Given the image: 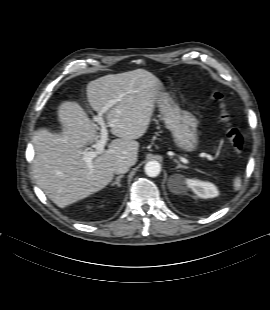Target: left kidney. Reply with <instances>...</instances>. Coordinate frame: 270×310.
<instances>
[{
    "label": "left kidney",
    "instance_id": "obj_1",
    "mask_svg": "<svg viewBox=\"0 0 270 310\" xmlns=\"http://www.w3.org/2000/svg\"><path fill=\"white\" fill-rule=\"evenodd\" d=\"M184 183L200 198H214L219 192L216 186L210 182L195 179H185Z\"/></svg>",
    "mask_w": 270,
    "mask_h": 310
}]
</instances>
